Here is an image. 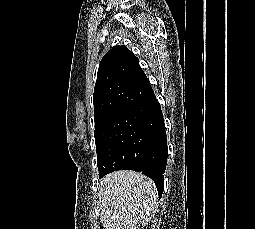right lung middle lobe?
I'll list each match as a JSON object with an SVG mask.
<instances>
[{
  "mask_svg": "<svg viewBox=\"0 0 255 229\" xmlns=\"http://www.w3.org/2000/svg\"><path fill=\"white\" fill-rule=\"evenodd\" d=\"M94 136L99 178H102L140 164L155 133L141 120L122 112L101 124Z\"/></svg>",
  "mask_w": 255,
  "mask_h": 229,
  "instance_id": "obj_1",
  "label": "right lung middle lobe"
}]
</instances>
